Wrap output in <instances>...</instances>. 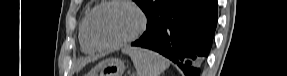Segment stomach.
I'll list each match as a JSON object with an SVG mask.
<instances>
[{
	"mask_svg": "<svg viewBox=\"0 0 287 76\" xmlns=\"http://www.w3.org/2000/svg\"><path fill=\"white\" fill-rule=\"evenodd\" d=\"M125 70L124 63L115 58H109L100 62L86 76H122Z\"/></svg>",
	"mask_w": 287,
	"mask_h": 76,
	"instance_id": "stomach-1",
	"label": "stomach"
}]
</instances>
